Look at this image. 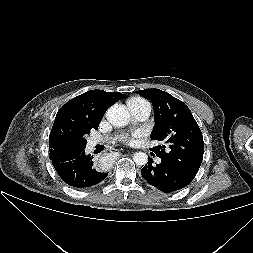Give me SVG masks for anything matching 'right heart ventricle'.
I'll return each instance as SVG.
<instances>
[{"instance_id": "right-heart-ventricle-1", "label": "right heart ventricle", "mask_w": 253, "mask_h": 253, "mask_svg": "<svg viewBox=\"0 0 253 253\" xmlns=\"http://www.w3.org/2000/svg\"><path fill=\"white\" fill-rule=\"evenodd\" d=\"M145 103L146 101L140 97H133L128 100V103Z\"/></svg>"}]
</instances>
